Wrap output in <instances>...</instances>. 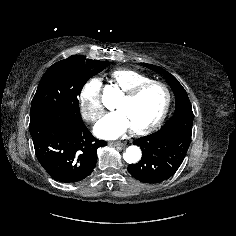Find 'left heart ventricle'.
I'll return each mask as SVG.
<instances>
[{
	"mask_svg": "<svg viewBox=\"0 0 236 236\" xmlns=\"http://www.w3.org/2000/svg\"><path fill=\"white\" fill-rule=\"evenodd\" d=\"M165 101L163 88L153 85L134 100L127 101L121 97L115 108L125 114L131 128L139 129L150 125L158 118Z\"/></svg>",
	"mask_w": 236,
	"mask_h": 236,
	"instance_id": "b2bd125f",
	"label": "left heart ventricle"
}]
</instances>
